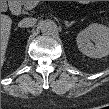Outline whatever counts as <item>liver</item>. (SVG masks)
<instances>
[{
    "label": "liver",
    "mask_w": 109,
    "mask_h": 109,
    "mask_svg": "<svg viewBox=\"0 0 109 109\" xmlns=\"http://www.w3.org/2000/svg\"><path fill=\"white\" fill-rule=\"evenodd\" d=\"M12 19L7 15L1 16V56L2 63L5 61V53L9 41Z\"/></svg>",
    "instance_id": "liver-1"
}]
</instances>
